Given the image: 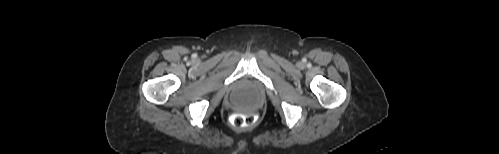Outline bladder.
<instances>
[{
    "mask_svg": "<svg viewBox=\"0 0 499 154\" xmlns=\"http://www.w3.org/2000/svg\"><path fill=\"white\" fill-rule=\"evenodd\" d=\"M241 105H243V106H247V103H245V102H242V103H241Z\"/></svg>",
    "mask_w": 499,
    "mask_h": 154,
    "instance_id": "obj_1",
    "label": "bladder"
}]
</instances>
